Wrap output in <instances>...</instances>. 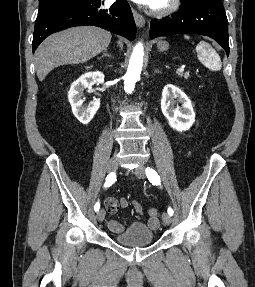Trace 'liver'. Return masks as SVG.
Segmentation results:
<instances>
[{"label": "liver", "mask_w": 255, "mask_h": 287, "mask_svg": "<svg viewBox=\"0 0 255 287\" xmlns=\"http://www.w3.org/2000/svg\"><path fill=\"white\" fill-rule=\"evenodd\" d=\"M110 32L94 26L69 28L64 32L52 34L36 50L35 70L40 82L47 74L64 64H83L105 52L111 42ZM121 50L122 42H118Z\"/></svg>", "instance_id": "obj_1"}]
</instances>
